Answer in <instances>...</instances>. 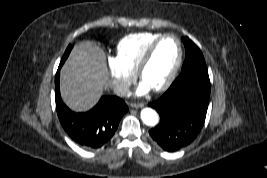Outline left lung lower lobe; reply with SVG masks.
<instances>
[{
    "label": "left lung lower lobe",
    "instance_id": "left-lung-lower-lobe-1",
    "mask_svg": "<svg viewBox=\"0 0 267 178\" xmlns=\"http://www.w3.org/2000/svg\"><path fill=\"white\" fill-rule=\"evenodd\" d=\"M210 90L208 75L179 76L158 100L148 104L160 116L149 131L152 139L168 152L190 144L204 125Z\"/></svg>",
    "mask_w": 267,
    "mask_h": 178
}]
</instances>
